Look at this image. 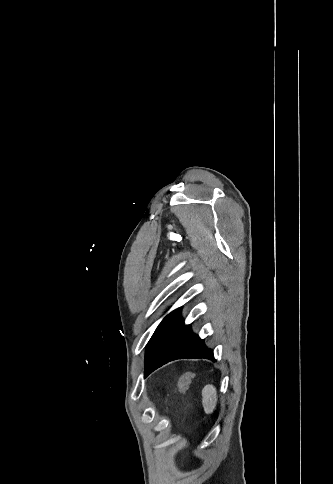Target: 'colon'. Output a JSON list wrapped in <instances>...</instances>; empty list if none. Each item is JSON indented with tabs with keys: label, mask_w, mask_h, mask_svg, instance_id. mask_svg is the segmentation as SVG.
Instances as JSON below:
<instances>
[{
	"label": "colon",
	"mask_w": 333,
	"mask_h": 484,
	"mask_svg": "<svg viewBox=\"0 0 333 484\" xmlns=\"http://www.w3.org/2000/svg\"><path fill=\"white\" fill-rule=\"evenodd\" d=\"M195 377V373L193 371L186 372L179 381V392L184 395L188 391L193 379Z\"/></svg>",
	"instance_id": "5ec220e1"
}]
</instances>
